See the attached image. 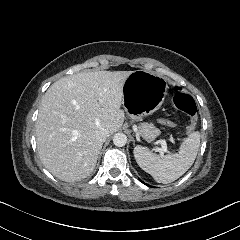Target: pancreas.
I'll return each instance as SVG.
<instances>
[{
  "label": "pancreas",
  "mask_w": 240,
  "mask_h": 240,
  "mask_svg": "<svg viewBox=\"0 0 240 240\" xmlns=\"http://www.w3.org/2000/svg\"><path fill=\"white\" fill-rule=\"evenodd\" d=\"M137 134L147 141H152L160 134V130L153 123L142 121L138 125Z\"/></svg>",
  "instance_id": "cf45deb5"
}]
</instances>
